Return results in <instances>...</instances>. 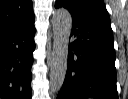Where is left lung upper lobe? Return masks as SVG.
Masks as SVG:
<instances>
[{"instance_id":"obj_1","label":"left lung upper lobe","mask_w":128,"mask_h":99,"mask_svg":"<svg viewBox=\"0 0 128 99\" xmlns=\"http://www.w3.org/2000/svg\"><path fill=\"white\" fill-rule=\"evenodd\" d=\"M67 8L72 16L88 17L110 23L103 0H56V4Z\"/></svg>"}]
</instances>
